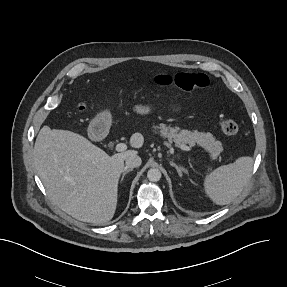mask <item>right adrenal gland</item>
I'll use <instances>...</instances> for the list:
<instances>
[{
	"label": "right adrenal gland",
	"mask_w": 287,
	"mask_h": 287,
	"mask_svg": "<svg viewBox=\"0 0 287 287\" xmlns=\"http://www.w3.org/2000/svg\"><path fill=\"white\" fill-rule=\"evenodd\" d=\"M132 170H133L132 168L127 169V168L125 167L124 172H123V175H122V178H121V182L123 181L125 175H126L127 173H129L130 171H132Z\"/></svg>",
	"instance_id": "right-adrenal-gland-1"
}]
</instances>
